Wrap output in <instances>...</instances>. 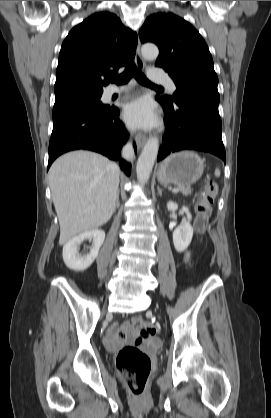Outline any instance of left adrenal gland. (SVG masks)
I'll list each match as a JSON object with an SVG mask.
<instances>
[{
  "mask_svg": "<svg viewBox=\"0 0 271 418\" xmlns=\"http://www.w3.org/2000/svg\"><path fill=\"white\" fill-rule=\"evenodd\" d=\"M157 189H158L159 195L162 196V189L160 188V186H157Z\"/></svg>",
  "mask_w": 271,
  "mask_h": 418,
  "instance_id": "a2214340",
  "label": "left adrenal gland"
}]
</instances>
